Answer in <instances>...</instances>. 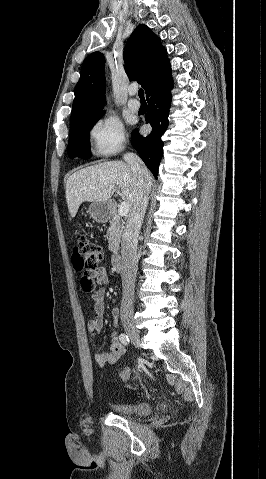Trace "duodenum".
Returning <instances> with one entry per match:
<instances>
[{"mask_svg": "<svg viewBox=\"0 0 266 479\" xmlns=\"http://www.w3.org/2000/svg\"><path fill=\"white\" fill-rule=\"evenodd\" d=\"M112 267L114 272L118 273L123 268V257L121 254L116 253L112 256Z\"/></svg>", "mask_w": 266, "mask_h": 479, "instance_id": "duodenum-1", "label": "duodenum"}]
</instances>
